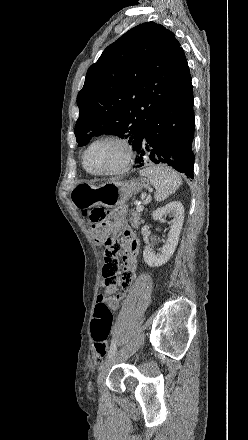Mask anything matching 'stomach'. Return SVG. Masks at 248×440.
<instances>
[{"label":"stomach","mask_w":248,"mask_h":440,"mask_svg":"<svg viewBox=\"0 0 248 440\" xmlns=\"http://www.w3.org/2000/svg\"><path fill=\"white\" fill-rule=\"evenodd\" d=\"M143 188L138 180L128 182H108L100 186L79 183L70 193V200L75 207L91 208L95 205L116 207L123 205Z\"/></svg>","instance_id":"stomach-1"}]
</instances>
